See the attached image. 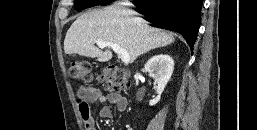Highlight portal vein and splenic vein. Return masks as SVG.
I'll return each instance as SVG.
<instances>
[{
    "label": "portal vein and splenic vein",
    "mask_w": 257,
    "mask_h": 130,
    "mask_svg": "<svg viewBox=\"0 0 257 130\" xmlns=\"http://www.w3.org/2000/svg\"><path fill=\"white\" fill-rule=\"evenodd\" d=\"M97 45L99 48H105V47L112 48L113 51L118 55V57L125 64H128L131 60L129 53L117 44L110 43L107 41H97Z\"/></svg>",
    "instance_id": "1"
}]
</instances>
